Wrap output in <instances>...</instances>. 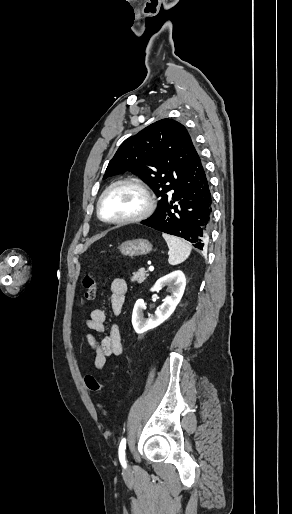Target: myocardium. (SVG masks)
Wrapping results in <instances>:
<instances>
[{"label": "myocardium", "instance_id": "obj_1", "mask_svg": "<svg viewBox=\"0 0 292 514\" xmlns=\"http://www.w3.org/2000/svg\"><path fill=\"white\" fill-rule=\"evenodd\" d=\"M122 186L135 188L142 194L143 199H144V204H143L142 209L140 211L136 212L135 214L124 217V218H119V219L104 218L102 215V202H103L104 198L112 190H114L115 188H118V187H122ZM153 206H154V202H153L151 193L142 181L137 180V179H125V180H119V181L112 183L101 193V195L98 199V202H97V215L100 218V220H102L103 222H106L109 224L123 225V224L137 222V221H140V220L146 218L153 211Z\"/></svg>", "mask_w": 292, "mask_h": 514}]
</instances>
